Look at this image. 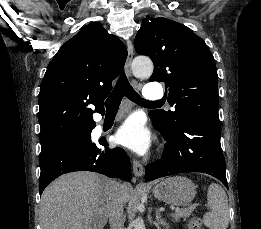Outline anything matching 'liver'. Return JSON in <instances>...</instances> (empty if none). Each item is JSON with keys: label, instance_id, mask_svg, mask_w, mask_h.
Segmentation results:
<instances>
[{"label": "liver", "instance_id": "obj_1", "mask_svg": "<svg viewBox=\"0 0 261 229\" xmlns=\"http://www.w3.org/2000/svg\"><path fill=\"white\" fill-rule=\"evenodd\" d=\"M113 181L99 173L78 171L53 181L42 193L40 229H104L108 193ZM123 203L130 199L129 185L120 191Z\"/></svg>", "mask_w": 261, "mask_h": 229}]
</instances>
